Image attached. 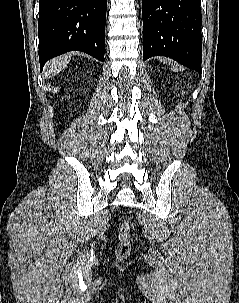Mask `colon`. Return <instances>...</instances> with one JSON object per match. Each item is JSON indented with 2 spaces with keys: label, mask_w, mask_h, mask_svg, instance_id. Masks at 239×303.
Returning <instances> with one entry per match:
<instances>
[{
  "label": "colon",
  "mask_w": 239,
  "mask_h": 303,
  "mask_svg": "<svg viewBox=\"0 0 239 303\" xmlns=\"http://www.w3.org/2000/svg\"><path fill=\"white\" fill-rule=\"evenodd\" d=\"M129 233H130V225L128 222H123L118 230V238L120 240V249L119 255L125 256L129 249Z\"/></svg>",
  "instance_id": "colon-1"
}]
</instances>
